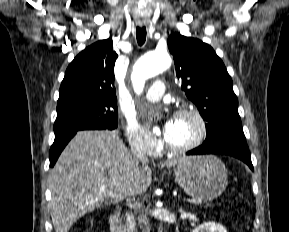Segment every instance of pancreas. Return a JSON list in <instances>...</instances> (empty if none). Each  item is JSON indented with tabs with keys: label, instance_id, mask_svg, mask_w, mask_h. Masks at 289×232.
Wrapping results in <instances>:
<instances>
[{
	"label": "pancreas",
	"instance_id": "obj_1",
	"mask_svg": "<svg viewBox=\"0 0 289 232\" xmlns=\"http://www.w3.org/2000/svg\"><path fill=\"white\" fill-rule=\"evenodd\" d=\"M125 228L128 232H133L135 230L134 216L131 213L127 215Z\"/></svg>",
	"mask_w": 289,
	"mask_h": 232
}]
</instances>
